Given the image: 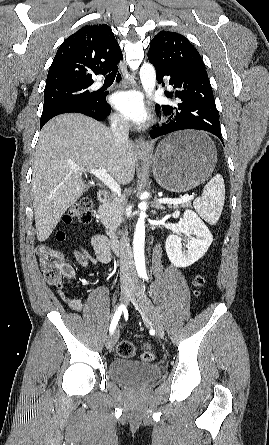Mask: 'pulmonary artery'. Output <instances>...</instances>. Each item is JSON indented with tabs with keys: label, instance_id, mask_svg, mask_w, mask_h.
I'll list each match as a JSON object with an SVG mask.
<instances>
[{
	"label": "pulmonary artery",
	"instance_id": "obj_1",
	"mask_svg": "<svg viewBox=\"0 0 269 445\" xmlns=\"http://www.w3.org/2000/svg\"><path fill=\"white\" fill-rule=\"evenodd\" d=\"M101 85H102L101 82H96V83H95V87H97V88L100 87Z\"/></svg>",
	"mask_w": 269,
	"mask_h": 445
}]
</instances>
